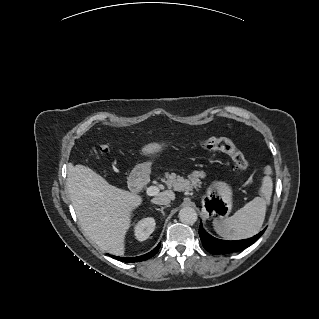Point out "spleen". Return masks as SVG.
<instances>
[{
    "label": "spleen",
    "instance_id": "1",
    "mask_svg": "<svg viewBox=\"0 0 319 319\" xmlns=\"http://www.w3.org/2000/svg\"><path fill=\"white\" fill-rule=\"evenodd\" d=\"M264 172L266 176L259 190L260 197H255L231 217L214 220L213 226L217 234L228 240H239L249 238L260 231L273 190L271 167H265Z\"/></svg>",
    "mask_w": 319,
    "mask_h": 319
}]
</instances>
